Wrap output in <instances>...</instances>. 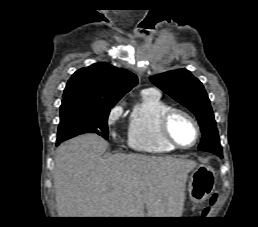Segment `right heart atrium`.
I'll return each mask as SVG.
<instances>
[{
    "mask_svg": "<svg viewBox=\"0 0 258 227\" xmlns=\"http://www.w3.org/2000/svg\"><path fill=\"white\" fill-rule=\"evenodd\" d=\"M122 114V106L120 105H116L110 112L108 120H107V124L111 129V133L113 134V127L115 126V124L117 123V121L119 120L120 116Z\"/></svg>",
    "mask_w": 258,
    "mask_h": 227,
    "instance_id": "right-heart-atrium-1",
    "label": "right heart atrium"
}]
</instances>
